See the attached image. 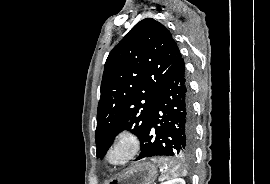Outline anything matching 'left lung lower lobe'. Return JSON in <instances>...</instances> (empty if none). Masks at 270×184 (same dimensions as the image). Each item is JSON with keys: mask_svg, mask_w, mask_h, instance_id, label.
I'll return each instance as SVG.
<instances>
[{"mask_svg": "<svg viewBox=\"0 0 270 184\" xmlns=\"http://www.w3.org/2000/svg\"><path fill=\"white\" fill-rule=\"evenodd\" d=\"M195 127L185 64L181 57L162 85L136 160L152 156L193 158Z\"/></svg>", "mask_w": 270, "mask_h": 184, "instance_id": "0a47b994", "label": "left lung lower lobe"}]
</instances>
